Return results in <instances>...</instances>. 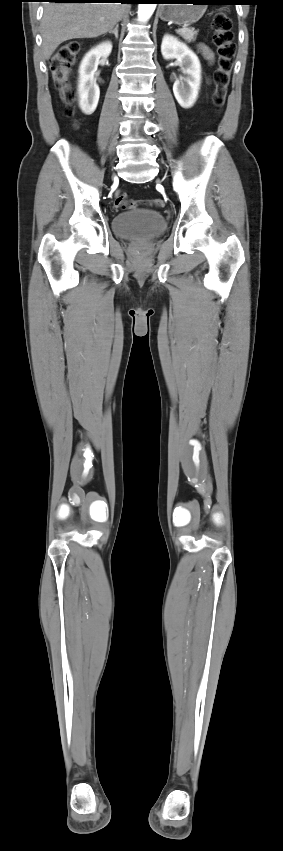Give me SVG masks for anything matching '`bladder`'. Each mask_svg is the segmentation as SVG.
I'll list each match as a JSON object with an SVG mask.
<instances>
[{
	"mask_svg": "<svg viewBox=\"0 0 283 851\" xmlns=\"http://www.w3.org/2000/svg\"><path fill=\"white\" fill-rule=\"evenodd\" d=\"M112 229L120 238L155 237L166 229L164 216L153 209L134 208L114 216Z\"/></svg>",
	"mask_w": 283,
	"mask_h": 851,
	"instance_id": "1",
	"label": "bladder"
}]
</instances>
